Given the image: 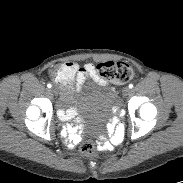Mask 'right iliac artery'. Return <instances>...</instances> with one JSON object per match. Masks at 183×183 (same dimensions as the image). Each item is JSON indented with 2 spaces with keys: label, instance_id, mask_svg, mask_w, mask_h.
<instances>
[{
  "label": "right iliac artery",
  "instance_id": "82829eb1",
  "mask_svg": "<svg viewBox=\"0 0 183 183\" xmlns=\"http://www.w3.org/2000/svg\"><path fill=\"white\" fill-rule=\"evenodd\" d=\"M47 87H48V88H51V87H52V85L49 83V84H47Z\"/></svg>",
  "mask_w": 183,
  "mask_h": 183
}]
</instances>
